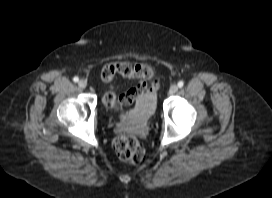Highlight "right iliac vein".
<instances>
[{
	"mask_svg": "<svg viewBox=\"0 0 272 198\" xmlns=\"http://www.w3.org/2000/svg\"><path fill=\"white\" fill-rule=\"evenodd\" d=\"M78 86H79L80 88H86L87 82H86L85 80L81 79V80L78 82Z\"/></svg>",
	"mask_w": 272,
	"mask_h": 198,
	"instance_id": "right-iliac-vein-1",
	"label": "right iliac vein"
}]
</instances>
